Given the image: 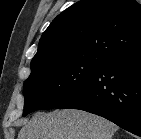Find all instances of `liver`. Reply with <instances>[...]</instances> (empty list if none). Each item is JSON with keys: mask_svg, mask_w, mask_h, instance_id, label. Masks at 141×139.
<instances>
[{"mask_svg": "<svg viewBox=\"0 0 141 139\" xmlns=\"http://www.w3.org/2000/svg\"><path fill=\"white\" fill-rule=\"evenodd\" d=\"M117 129L101 116L64 109L35 114L25 121L17 139H112Z\"/></svg>", "mask_w": 141, "mask_h": 139, "instance_id": "obj_1", "label": "liver"}]
</instances>
